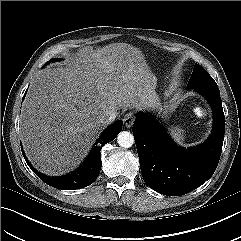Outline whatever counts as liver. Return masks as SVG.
Here are the masks:
<instances>
[{
    "label": "liver",
    "instance_id": "liver-1",
    "mask_svg": "<svg viewBox=\"0 0 241 241\" xmlns=\"http://www.w3.org/2000/svg\"><path fill=\"white\" fill-rule=\"evenodd\" d=\"M156 86L142 51L127 43L85 48L67 67L39 71L21 111L27 158L49 176L73 170L104 128L100 117L156 106Z\"/></svg>",
    "mask_w": 241,
    "mask_h": 241
}]
</instances>
